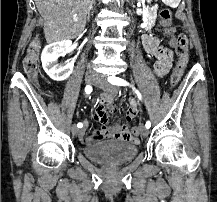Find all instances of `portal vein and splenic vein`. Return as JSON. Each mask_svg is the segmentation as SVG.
I'll return each instance as SVG.
<instances>
[{
	"mask_svg": "<svg viewBox=\"0 0 217 202\" xmlns=\"http://www.w3.org/2000/svg\"><path fill=\"white\" fill-rule=\"evenodd\" d=\"M73 20H75V22H78V18H76V16H74Z\"/></svg>",
	"mask_w": 217,
	"mask_h": 202,
	"instance_id": "portal-vein-and-splenic-vein-1",
	"label": "portal vein and splenic vein"
}]
</instances>
